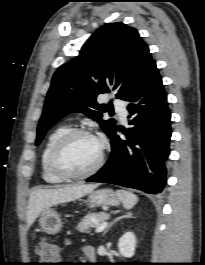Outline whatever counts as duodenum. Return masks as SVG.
<instances>
[{"instance_id":"1","label":"duodenum","mask_w":205,"mask_h":265,"mask_svg":"<svg viewBox=\"0 0 205 265\" xmlns=\"http://www.w3.org/2000/svg\"><path fill=\"white\" fill-rule=\"evenodd\" d=\"M85 252L90 261H94L96 259L95 249L92 246H87Z\"/></svg>"}]
</instances>
